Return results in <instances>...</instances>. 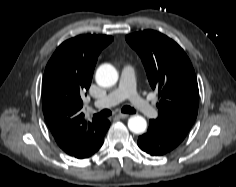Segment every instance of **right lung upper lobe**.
<instances>
[{
	"mask_svg": "<svg viewBox=\"0 0 236 187\" xmlns=\"http://www.w3.org/2000/svg\"><path fill=\"white\" fill-rule=\"evenodd\" d=\"M112 40L107 35H79L66 40L45 68L44 117L59 147L79 159L91 156L104 137L106 119L86 122L80 111L81 97L90 87L99 53Z\"/></svg>",
	"mask_w": 236,
	"mask_h": 187,
	"instance_id": "1",
	"label": "right lung upper lobe"
}]
</instances>
